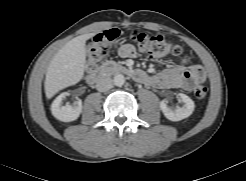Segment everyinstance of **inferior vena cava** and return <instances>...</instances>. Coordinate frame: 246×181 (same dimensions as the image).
<instances>
[{
	"mask_svg": "<svg viewBox=\"0 0 246 181\" xmlns=\"http://www.w3.org/2000/svg\"><path fill=\"white\" fill-rule=\"evenodd\" d=\"M112 82L109 76H99L96 81V89L100 92L108 91L112 88Z\"/></svg>",
	"mask_w": 246,
	"mask_h": 181,
	"instance_id": "602c4592",
	"label": "inferior vena cava"
}]
</instances>
